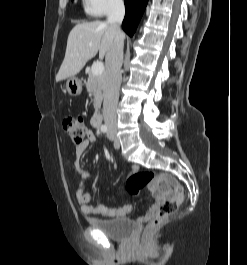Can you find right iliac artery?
<instances>
[{
	"mask_svg": "<svg viewBox=\"0 0 247 265\" xmlns=\"http://www.w3.org/2000/svg\"><path fill=\"white\" fill-rule=\"evenodd\" d=\"M107 129H108V128H107L106 125H102V126H101V131H102V132H107Z\"/></svg>",
	"mask_w": 247,
	"mask_h": 265,
	"instance_id": "obj_1",
	"label": "right iliac artery"
}]
</instances>
